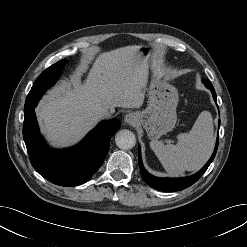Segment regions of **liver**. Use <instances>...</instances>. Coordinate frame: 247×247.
I'll list each match as a JSON object with an SVG mask.
<instances>
[{"label": "liver", "mask_w": 247, "mask_h": 247, "mask_svg": "<svg viewBox=\"0 0 247 247\" xmlns=\"http://www.w3.org/2000/svg\"><path fill=\"white\" fill-rule=\"evenodd\" d=\"M147 85V61L139 46H126L100 54L87 78L52 89L36 114L47 139L56 146L80 141L100 120L102 109L140 108Z\"/></svg>", "instance_id": "liver-1"}]
</instances>
